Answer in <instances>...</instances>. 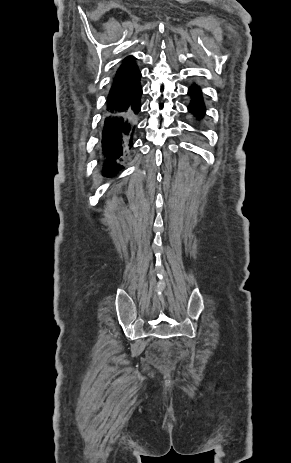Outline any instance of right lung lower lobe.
<instances>
[{
    "label": "right lung lower lobe",
    "mask_w": 291,
    "mask_h": 463,
    "mask_svg": "<svg viewBox=\"0 0 291 463\" xmlns=\"http://www.w3.org/2000/svg\"><path fill=\"white\" fill-rule=\"evenodd\" d=\"M140 71L129 80H114L112 86L125 89L121 95L107 99L106 116L100 134V153L105 174L123 170L121 161L134 143L138 114L141 109Z\"/></svg>",
    "instance_id": "98d812e1"
}]
</instances>
